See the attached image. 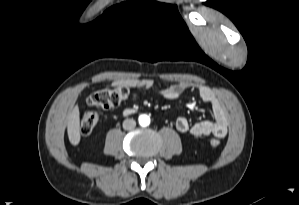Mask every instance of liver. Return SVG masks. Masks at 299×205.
<instances>
[{"label": "liver", "instance_id": "6515ba94", "mask_svg": "<svg viewBox=\"0 0 299 205\" xmlns=\"http://www.w3.org/2000/svg\"><path fill=\"white\" fill-rule=\"evenodd\" d=\"M67 133L69 141L76 146L80 142V113L76 105L68 115Z\"/></svg>", "mask_w": 299, "mask_h": 205}]
</instances>
